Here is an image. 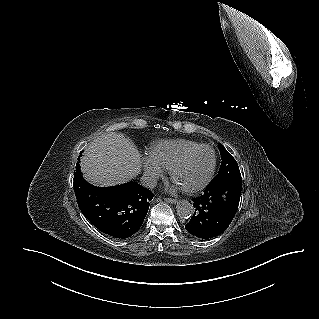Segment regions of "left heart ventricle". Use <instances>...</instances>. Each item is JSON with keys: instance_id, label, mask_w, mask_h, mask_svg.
Wrapping results in <instances>:
<instances>
[{"instance_id": "left-heart-ventricle-1", "label": "left heart ventricle", "mask_w": 319, "mask_h": 319, "mask_svg": "<svg viewBox=\"0 0 319 319\" xmlns=\"http://www.w3.org/2000/svg\"><path fill=\"white\" fill-rule=\"evenodd\" d=\"M213 161L212 152L202 148L195 152L176 172L174 181L182 189L200 184L207 176Z\"/></svg>"}]
</instances>
